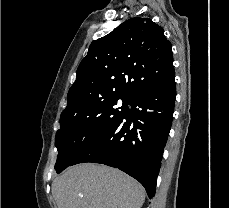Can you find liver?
<instances>
[{"instance_id":"obj_1","label":"liver","mask_w":229,"mask_h":208,"mask_svg":"<svg viewBox=\"0 0 229 208\" xmlns=\"http://www.w3.org/2000/svg\"><path fill=\"white\" fill-rule=\"evenodd\" d=\"M52 194L58 208H141L145 190L120 170L77 164L57 176Z\"/></svg>"}]
</instances>
